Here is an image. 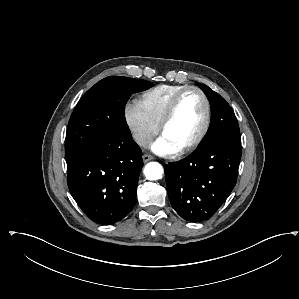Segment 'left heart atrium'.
<instances>
[{
    "label": "left heart atrium",
    "mask_w": 299,
    "mask_h": 299,
    "mask_svg": "<svg viewBox=\"0 0 299 299\" xmlns=\"http://www.w3.org/2000/svg\"><path fill=\"white\" fill-rule=\"evenodd\" d=\"M151 148L154 152L164 156L174 155L180 149L162 135L151 145Z\"/></svg>",
    "instance_id": "obj_1"
}]
</instances>
